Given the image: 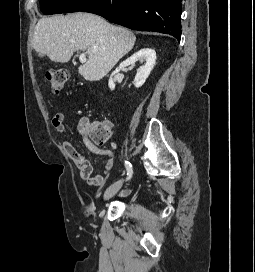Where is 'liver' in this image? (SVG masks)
<instances>
[{"label": "liver", "instance_id": "liver-1", "mask_svg": "<svg viewBox=\"0 0 255 272\" xmlns=\"http://www.w3.org/2000/svg\"><path fill=\"white\" fill-rule=\"evenodd\" d=\"M136 36L92 13L77 12L41 18L34 31L33 48L51 61L66 63L75 51L88 60L78 68L88 81L102 79L134 46Z\"/></svg>", "mask_w": 255, "mask_h": 272}]
</instances>
